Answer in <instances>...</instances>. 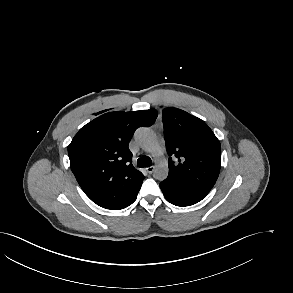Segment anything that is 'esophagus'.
<instances>
[{
  "label": "esophagus",
  "instance_id": "1",
  "mask_svg": "<svg viewBox=\"0 0 293 293\" xmlns=\"http://www.w3.org/2000/svg\"><path fill=\"white\" fill-rule=\"evenodd\" d=\"M155 170V167L154 166H150L148 168H146V171L149 173V174H152Z\"/></svg>",
  "mask_w": 293,
  "mask_h": 293
}]
</instances>
